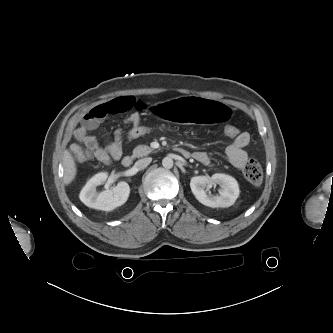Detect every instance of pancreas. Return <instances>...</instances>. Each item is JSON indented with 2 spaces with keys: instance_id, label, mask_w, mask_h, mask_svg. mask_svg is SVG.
Segmentation results:
<instances>
[{
  "instance_id": "pancreas-1",
  "label": "pancreas",
  "mask_w": 333,
  "mask_h": 333,
  "mask_svg": "<svg viewBox=\"0 0 333 333\" xmlns=\"http://www.w3.org/2000/svg\"><path fill=\"white\" fill-rule=\"evenodd\" d=\"M151 152H152V149L150 147L145 146V145H138L133 150V156L134 157H142V156L148 155Z\"/></svg>"
}]
</instances>
